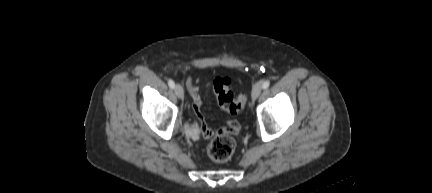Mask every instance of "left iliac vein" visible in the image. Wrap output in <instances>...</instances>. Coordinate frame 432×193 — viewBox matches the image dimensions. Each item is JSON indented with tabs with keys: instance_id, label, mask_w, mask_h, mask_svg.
Here are the masks:
<instances>
[{
	"instance_id": "obj_1",
	"label": "left iliac vein",
	"mask_w": 432,
	"mask_h": 193,
	"mask_svg": "<svg viewBox=\"0 0 432 193\" xmlns=\"http://www.w3.org/2000/svg\"><path fill=\"white\" fill-rule=\"evenodd\" d=\"M262 89H263V85L261 82H257L254 85L253 90H252V99L253 100H256L259 97V95L262 92Z\"/></svg>"
}]
</instances>
